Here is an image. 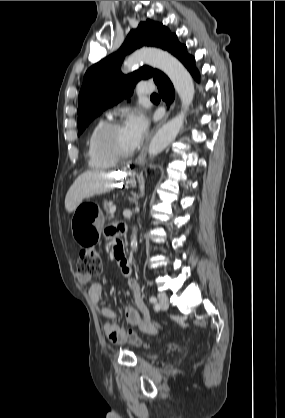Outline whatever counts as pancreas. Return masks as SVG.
<instances>
[{
	"label": "pancreas",
	"mask_w": 285,
	"mask_h": 418,
	"mask_svg": "<svg viewBox=\"0 0 285 418\" xmlns=\"http://www.w3.org/2000/svg\"><path fill=\"white\" fill-rule=\"evenodd\" d=\"M111 204L108 201H104L103 203V208L105 209L106 212H108L110 210Z\"/></svg>",
	"instance_id": "pancreas-1"
}]
</instances>
